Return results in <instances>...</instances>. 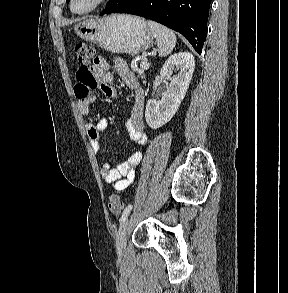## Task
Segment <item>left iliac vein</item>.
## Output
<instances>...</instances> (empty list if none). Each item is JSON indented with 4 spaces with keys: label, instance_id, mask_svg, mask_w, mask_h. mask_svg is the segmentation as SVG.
Returning a JSON list of instances; mask_svg holds the SVG:
<instances>
[{
    "label": "left iliac vein",
    "instance_id": "1",
    "mask_svg": "<svg viewBox=\"0 0 288 293\" xmlns=\"http://www.w3.org/2000/svg\"><path fill=\"white\" fill-rule=\"evenodd\" d=\"M129 225H130V222H129V219H126L122 225H121V228L117 234V237H116V250H117V253L119 255H121L124 250H125V247H126V240H127V232H128V229H129Z\"/></svg>",
    "mask_w": 288,
    "mask_h": 293
}]
</instances>
